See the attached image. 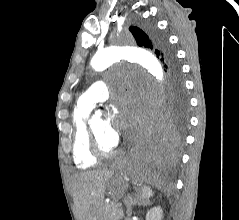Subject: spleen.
Here are the masks:
<instances>
[{
  "mask_svg": "<svg viewBox=\"0 0 239 220\" xmlns=\"http://www.w3.org/2000/svg\"><path fill=\"white\" fill-rule=\"evenodd\" d=\"M141 190H142L141 198L143 200H148L153 195V191L149 186L144 185L141 187Z\"/></svg>",
  "mask_w": 239,
  "mask_h": 220,
  "instance_id": "obj_1",
  "label": "spleen"
}]
</instances>
